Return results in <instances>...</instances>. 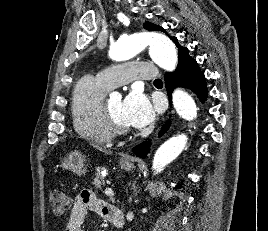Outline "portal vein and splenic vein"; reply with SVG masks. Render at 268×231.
<instances>
[{
    "label": "portal vein and splenic vein",
    "mask_w": 268,
    "mask_h": 231,
    "mask_svg": "<svg viewBox=\"0 0 268 231\" xmlns=\"http://www.w3.org/2000/svg\"><path fill=\"white\" fill-rule=\"evenodd\" d=\"M105 194L107 195V196H109V197H113L115 194H114V191L112 190V188H110V187H107L106 189H105Z\"/></svg>",
    "instance_id": "18ae733b"
}]
</instances>
